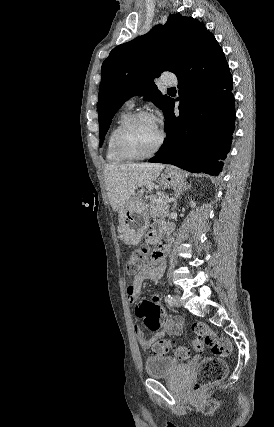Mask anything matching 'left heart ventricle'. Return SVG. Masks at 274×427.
I'll return each instance as SVG.
<instances>
[{
  "instance_id": "b2bd125f",
  "label": "left heart ventricle",
  "mask_w": 274,
  "mask_h": 427,
  "mask_svg": "<svg viewBox=\"0 0 274 427\" xmlns=\"http://www.w3.org/2000/svg\"><path fill=\"white\" fill-rule=\"evenodd\" d=\"M160 125L155 119L144 117L135 121L125 132L124 145L132 154L142 156L152 152L159 143Z\"/></svg>"
}]
</instances>
